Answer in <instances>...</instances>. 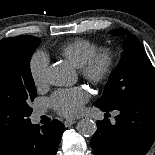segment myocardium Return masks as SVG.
<instances>
[{
    "mask_svg": "<svg viewBox=\"0 0 155 155\" xmlns=\"http://www.w3.org/2000/svg\"><path fill=\"white\" fill-rule=\"evenodd\" d=\"M116 65L115 53L110 48L98 49L80 68L81 75L93 84L106 82Z\"/></svg>",
    "mask_w": 155,
    "mask_h": 155,
    "instance_id": "obj_1",
    "label": "myocardium"
}]
</instances>
